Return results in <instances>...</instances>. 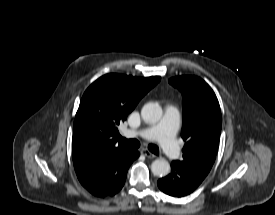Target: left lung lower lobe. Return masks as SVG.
I'll list each match as a JSON object with an SVG mask.
<instances>
[{
	"instance_id": "1",
	"label": "left lung lower lobe",
	"mask_w": 275,
	"mask_h": 215,
	"mask_svg": "<svg viewBox=\"0 0 275 215\" xmlns=\"http://www.w3.org/2000/svg\"><path fill=\"white\" fill-rule=\"evenodd\" d=\"M204 176L196 174L177 161L171 163V173L158 180V187L167 195L183 197L192 193L204 180Z\"/></svg>"
}]
</instances>
